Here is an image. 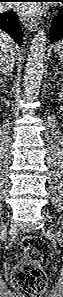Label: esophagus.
<instances>
[{
    "mask_svg": "<svg viewBox=\"0 0 63 297\" xmlns=\"http://www.w3.org/2000/svg\"><path fill=\"white\" fill-rule=\"evenodd\" d=\"M22 20L27 30L35 31L37 29L38 22L34 18L24 17Z\"/></svg>",
    "mask_w": 63,
    "mask_h": 297,
    "instance_id": "1",
    "label": "esophagus"
}]
</instances>
